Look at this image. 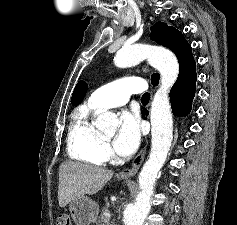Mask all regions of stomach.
I'll return each mask as SVG.
<instances>
[{
  "instance_id": "0dacf381",
  "label": "stomach",
  "mask_w": 237,
  "mask_h": 225,
  "mask_svg": "<svg viewBox=\"0 0 237 225\" xmlns=\"http://www.w3.org/2000/svg\"><path fill=\"white\" fill-rule=\"evenodd\" d=\"M71 217L76 225H90L98 215V205L87 196H80L69 204Z\"/></svg>"
}]
</instances>
